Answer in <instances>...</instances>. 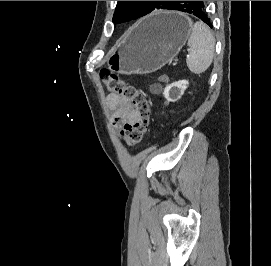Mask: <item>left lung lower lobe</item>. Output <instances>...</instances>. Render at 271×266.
Instances as JSON below:
<instances>
[{"label":"left lung lower lobe","instance_id":"left-lung-lower-lobe-1","mask_svg":"<svg viewBox=\"0 0 271 266\" xmlns=\"http://www.w3.org/2000/svg\"><path fill=\"white\" fill-rule=\"evenodd\" d=\"M169 9L191 13L205 22L209 27H212L211 19L205 10L204 1H175Z\"/></svg>","mask_w":271,"mask_h":266}]
</instances>
